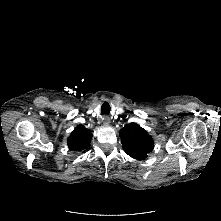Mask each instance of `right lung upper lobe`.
Returning a JSON list of instances; mask_svg holds the SVG:
<instances>
[{"label": "right lung upper lobe", "mask_w": 221, "mask_h": 221, "mask_svg": "<svg viewBox=\"0 0 221 221\" xmlns=\"http://www.w3.org/2000/svg\"><path fill=\"white\" fill-rule=\"evenodd\" d=\"M93 134L83 125H78L68 138V146L70 149L81 152L89 147Z\"/></svg>", "instance_id": "obj_1"}]
</instances>
